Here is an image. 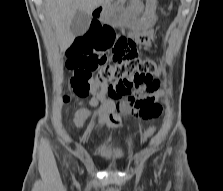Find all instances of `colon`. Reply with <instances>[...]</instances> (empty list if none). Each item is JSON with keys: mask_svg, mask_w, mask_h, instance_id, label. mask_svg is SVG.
Wrapping results in <instances>:
<instances>
[{"mask_svg": "<svg viewBox=\"0 0 223 191\" xmlns=\"http://www.w3.org/2000/svg\"><path fill=\"white\" fill-rule=\"evenodd\" d=\"M110 52L113 63L106 64V53ZM68 68L74 70L70 85L77 96L86 97L97 83L121 84L136 87L149 83L160 70L156 63L139 57L137 43L125 35H116L112 27H92L77 37L67 52ZM99 69L96 77L92 72ZM131 80V82H129ZM64 102L70 97L65 95ZM154 112L158 109L154 108ZM152 130L143 134L149 137Z\"/></svg>", "mask_w": 223, "mask_h": 191, "instance_id": "5ec220e1", "label": "colon"}]
</instances>
